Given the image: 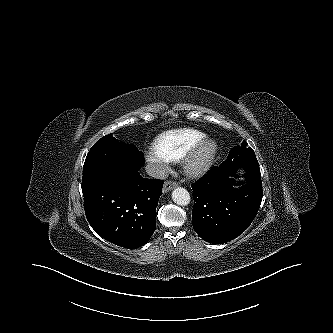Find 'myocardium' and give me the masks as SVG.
Listing matches in <instances>:
<instances>
[{
  "instance_id": "f54148a6",
  "label": "myocardium",
  "mask_w": 333,
  "mask_h": 333,
  "mask_svg": "<svg viewBox=\"0 0 333 333\" xmlns=\"http://www.w3.org/2000/svg\"><path fill=\"white\" fill-rule=\"evenodd\" d=\"M218 145L215 140L204 138L185 156L183 168L190 177H199L206 173L215 161Z\"/></svg>"
}]
</instances>
